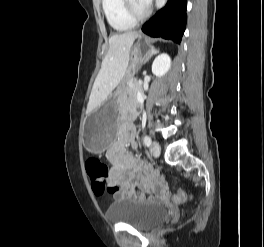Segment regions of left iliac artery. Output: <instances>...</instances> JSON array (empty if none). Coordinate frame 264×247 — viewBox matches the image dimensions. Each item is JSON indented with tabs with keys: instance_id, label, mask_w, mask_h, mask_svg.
<instances>
[{
	"instance_id": "left-iliac-artery-1",
	"label": "left iliac artery",
	"mask_w": 264,
	"mask_h": 247,
	"mask_svg": "<svg viewBox=\"0 0 264 247\" xmlns=\"http://www.w3.org/2000/svg\"><path fill=\"white\" fill-rule=\"evenodd\" d=\"M143 141H144V144L146 145V146H150L151 145V138L148 136V135H145L144 137H143Z\"/></svg>"
}]
</instances>
